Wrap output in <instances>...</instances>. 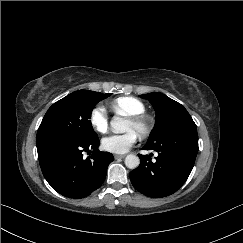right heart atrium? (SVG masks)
<instances>
[{
  "label": "right heart atrium",
  "instance_id": "right-heart-atrium-1",
  "mask_svg": "<svg viewBox=\"0 0 243 243\" xmlns=\"http://www.w3.org/2000/svg\"><path fill=\"white\" fill-rule=\"evenodd\" d=\"M89 122L96 131L106 132L109 127V117L106 110L100 105L93 107L89 113Z\"/></svg>",
  "mask_w": 243,
  "mask_h": 243
}]
</instances>
